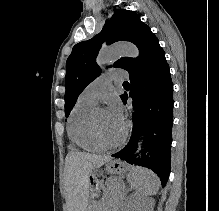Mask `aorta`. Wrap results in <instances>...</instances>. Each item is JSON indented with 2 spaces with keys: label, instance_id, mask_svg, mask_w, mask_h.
Masks as SVG:
<instances>
[{
  "label": "aorta",
  "instance_id": "obj_1",
  "mask_svg": "<svg viewBox=\"0 0 219 211\" xmlns=\"http://www.w3.org/2000/svg\"><path fill=\"white\" fill-rule=\"evenodd\" d=\"M139 55L138 48L131 43H119L100 51L97 57L99 65L108 64L120 56L136 58ZM141 150V142L138 141L137 152Z\"/></svg>",
  "mask_w": 219,
  "mask_h": 211
}]
</instances>
